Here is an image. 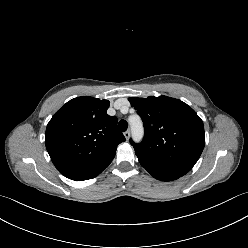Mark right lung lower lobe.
Masks as SVG:
<instances>
[{
	"label": "right lung lower lobe",
	"instance_id": "1",
	"mask_svg": "<svg viewBox=\"0 0 248 248\" xmlns=\"http://www.w3.org/2000/svg\"><path fill=\"white\" fill-rule=\"evenodd\" d=\"M110 164V163H109ZM109 164L97 167L95 169L86 170V171H64L61 172L65 177L76 180L82 181L87 179H92L99 175Z\"/></svg>",
	"mask_w": 248,
	"mask_h": 248
}]
</instances>
